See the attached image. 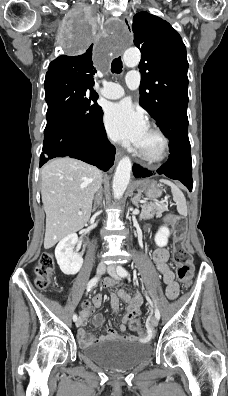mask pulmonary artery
Instances as JSON below:
<instances>
[{"label": "pulmonary artery", "mask_w": 228, "mask_h": 396, "mask_svg": "<svg viewBox=\"0 0 228 396\" xmlns=\"http://www.w3.org/2000/svg\"><path fill=\"white\" fill-rule=\"evenodd\" d=\"M140 77L138 72L131 71L126 76V84L130 89H136L139 86ZM103 97L107 99H118L121 98L125 91L121 85L114 82H104L101 90Z\"/></svg>", "instance_id": "e3ab8cb5"}]
</instances>
